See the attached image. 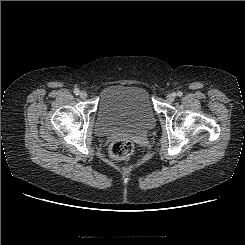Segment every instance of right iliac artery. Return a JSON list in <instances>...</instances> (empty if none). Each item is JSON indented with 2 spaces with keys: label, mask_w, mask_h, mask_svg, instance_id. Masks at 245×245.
<instances>
[{
  "label": "right iliac artery",
  "mask_w": 245,
  "mask_h": 245,
  "mask_svg": "<svg viewBox=\"0 0 245 245\" xmlns=\"http://www.w3.org/2000/svg\"><path fill=\"white\" fill-rule=\"evenodd\" d=\"M79 92H80V91H79V89H78V88H75V89H74V94H75V95H78V94H79Z\"/></svg>",
  "instance_id": "right-iliac-artery-1"
}]
</instances>
